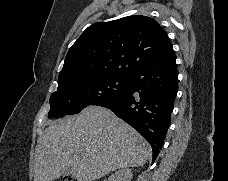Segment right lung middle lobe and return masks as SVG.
I'll return each instance as SVG.
<instances>
[{"instance_id": "dd1d6c3e", "label": "right lung middle lobe", "mask_w": 228, "mask_h": 181, "mask_svg": "<svg viewBox=\"0 0 228 181\" xmlns=\"http://www.w3.org/2000/svg\"><path fill=\"white\" fill-rule=\"evenodd\" d=\"M129 78L111 74L58 86L50 97L48 116L76 114L88 105L111 103L123 95Z\"/></svg>"}]
</instances>
